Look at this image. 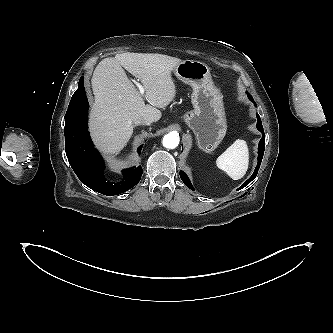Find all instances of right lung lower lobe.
<instances>
[{
	"label": "right lung lower lobe",
	"instance_id": "1",
	"mask_svg": "<svg viewBox=\"0 0 333 333\" xmlns=\"http://www.w3.org/2000/svg\"><path fill=\"white\" fill-rule=\"evenodd\" d=\"M88 101L80 78L78 90L73 94L65 114V152L79 180L101 194L112 196L135 186L142 176V168L123 171L124 180L110 183L104 178V161L94 148L87 125ZM142 146L138 148L140 154Z\"/></svg>",
	"mask_w": 333,
	"mask_h": 333
}]
</instances>
